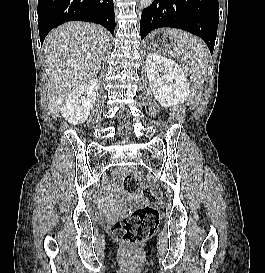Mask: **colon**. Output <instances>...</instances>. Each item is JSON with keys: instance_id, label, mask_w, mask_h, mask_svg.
Here are the masks:
<instances>
[{"instance_id": "obj_1", "label": "colon", "mask_w": 265, "mask_h": 273, "mask_svg": "<svg viewBox=\"0 0 265 273\" xmlns=\"http://www.w3.org/2000/svg\"><path fill=\"white\" fill-rule=\"evenodd\" d=\"M124 190L131 196L141 194L145 199L140 201L133 212L117 221L112 229L114 237L124 245L136 247L149 239L159 225V213L151 204L154 195L142 186L136 170H130L123 179Z\"/></svg>"}]
</instances>
